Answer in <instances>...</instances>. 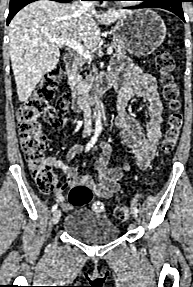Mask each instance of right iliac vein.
Masks as SVG:
<instances>
[{"label":"right iliac vein","mask_w":193,"mask_h":287,"mask_svg":"<svg viewBox=\"0 0 193 287\" xmlns=\"http://www.w3.org/2000/svg\"><path fill=\"white\" fill-rule=\"evenodd\" d=\"M60 217H61V211L59 209L55 210L52 217L53 224H57L60 220Z\"/></svg>","instance_id":"1"}]
</instances>
